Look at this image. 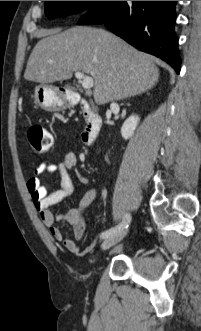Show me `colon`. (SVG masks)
<instances>
[{
    "label": "colon",
    "instance_id": "obj_1",
    "mask_svg": "<svg viewBox=\"0 0 201 331\" xmlns=\"http://www.w3.org/2000/svg\"><path fill=\"white\" fill-rule=\"evenodd\" d=\"M28 141L36 153L43 154L52 146V135L45 127L34 124L28 129Z\"/></svg>",
    "mask_w": 201,
    "mask_h": 331
}]
</instances>
